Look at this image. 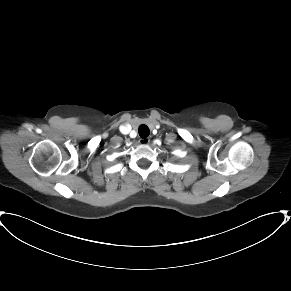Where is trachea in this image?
<instances>
[{"label": "trachea", "instance_id": "trachea-1", "mask_svg": "<svg viewBox=\"0 0 291 291\" xmlns=\"http://www.w3.org/2000/svg\"><path fill=\"white\" fill-rule=\"evenodd\" d=\"M141 138H146L149 136V128L146 125H141L138 129Z\"/></svg>", "mask_w": 291, "mask_h": 291}]
</instances>
